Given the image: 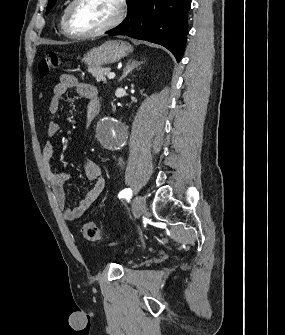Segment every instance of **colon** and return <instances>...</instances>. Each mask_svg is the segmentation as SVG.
Instances as JSON below:
<instances>
[{
  "label": "colon",
  "instance_id": "colon-1",
  "mask_svg": "<svg viewBox=\"0 0 285 335\" xmlns=\"http://www.w3.org/2000/svg\"><path fill=\"white\" fill-rule=\"evenodd\" d=\"M62 60L58 53L50 52L46 54L39 63V73L42 77H47L54 70L61 66ZM83 236L89 241H98L102 238L101 230L93 222H87L82 227Z\"/></svg>",
  "mask_w": 285,
  "mask_h": 335
}]
</instances>
